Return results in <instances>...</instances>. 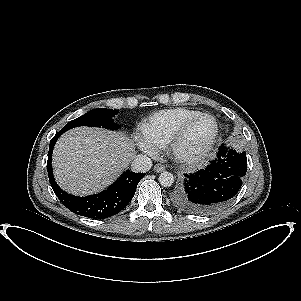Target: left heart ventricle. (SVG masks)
<instances>
[{
  "instance_id": "b2bd125f",
  "label": "left heart ventricle",
  "mask_w": 301,
  "mask_h": 301,
  "mask_svg": "<svg viewBox=\"0 0 301 301\" xmlns=\"http://www.w3.org/2000/svg\"><path fill=\"white\" fill-rule=\"evenodd\" d=\"M213 129L214 125L210 119H199L188 129L180 144V151L185 154L199 151L210 139Z\"/></svg>"
}]
</instances>
